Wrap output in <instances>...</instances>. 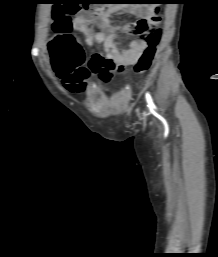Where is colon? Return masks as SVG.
Instances as JSON below:
<instances>
[{
    "label": "colon",
    "instance_id": "obj_1",
    "mask_svg": "<svg viewBox=\"0 0 218 257\" xmlns=\"http://www.w3.org/2000/svg\"><path fill=\"white\" fill-rule=\"evenodd\" d=\"M51 10H54L53 30L55 32L49 44L52 63L59 76L68 77L85 62L80 41L71 34L72 24L69 17L70 14L77 13L79 8L78 5H51ZM82 10H93V5H82ZM136 10H145L144 16L129 25L128 31L145 38L148 42V47L135 66L137 73H143L151 66L160 40L158 28L160 18L154 5H136Z\"/></svg>",
    "mask_w": 218,
    "mask_h": 257
}]
</instances>
